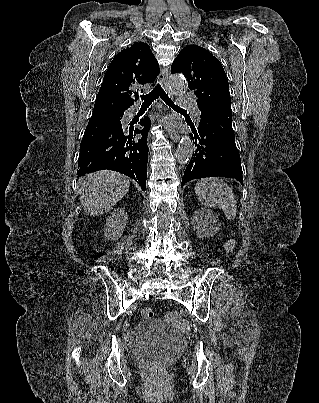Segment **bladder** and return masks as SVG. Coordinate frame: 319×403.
Here are the masks:
<instances>
[{
	"instance_id": "31cf9c89",
	"label": "bladder",
	"mask_w": 319,
	"mask_h": 403,
	"mask_svg": "<svg viewBox=\"0 0 319 403\" xmlns=\"http://www.w3.org/2000/svg\"><path fill=\"white\" fill-rule=\"evenodd\" d=\"M182 336L163 319L147 318L131 334L133 358L145 361L166 359L183 346Z\"/></svg>"
}]
</instances>
